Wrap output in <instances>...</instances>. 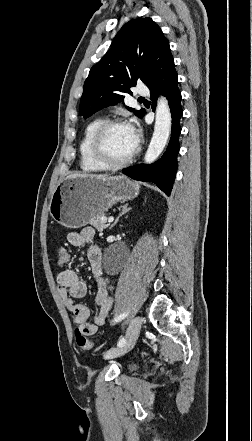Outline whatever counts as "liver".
I'll list each match as a JSON object with an SVG mask.
<instances>
[{
	"label": "liver",
	"instance_id": "obj_1",
	"mask_svg": "<svg viewBox=\"0 0 252 441\" xmlns=\"http://www.w3.org/2000/svg\"><path fill=\"white\" fill-rule=\"evenodd\" d=\"M84 176H89V177H93V178H106V177H108V175H93V174H91V175H89V174H78V173H75V174H71V175H69L68 176V178H73V177H84Z\"/></svg>",
	"mask_w": 252,
	"mask_h": 441
}]
</instances>
